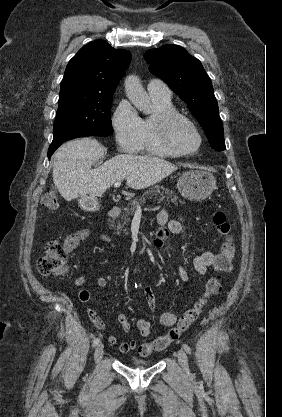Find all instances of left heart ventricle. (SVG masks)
<instances>
[{
	"label": "left heart ventricle",
	"instance_id": "left-heart-ventricle-1",
	"mask_svg": "<svg viewBox=\"0 0 282 417\" xmlns=\"http://www.w3.org/2000/svg\"><path fill=\"white\" fill-rule=\"evenodd\" d=\"M159 132V129H157ZM171 136L174 142L190 151H194L198 145V139L195 134L183 124L177 123L171 129Z\"/></svg>",
	"mask_w": 282,
	"mask_h": 417
}]
</instances>
